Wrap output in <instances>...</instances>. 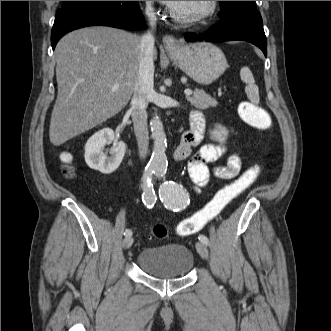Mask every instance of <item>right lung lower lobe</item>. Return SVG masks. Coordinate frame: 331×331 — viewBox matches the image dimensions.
Here are the masks:
<instances>
[{"mask_svg": "<svg viewBox=\"0 0 331 331\" xmlns=\"http://www.w3.org/2000/svg\"><path fill=\"white\" fill-rule=\"evenodd\" d=\"M138 1H88L61 8L55 17L51 33L54 50L66 33L87 26H111L127 30L144 27Z\"/></svg>", "mask_w": 331, "mask_h": 331, "instance_id": "right-lung-lower-lobe-1", "label": "right lung lower lobe"}]
</instances>
